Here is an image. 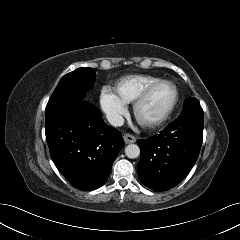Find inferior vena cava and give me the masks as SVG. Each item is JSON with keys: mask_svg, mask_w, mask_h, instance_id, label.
Returning a JSON list of instances; mask_svg holds the SVG:
<instances>
[{"mask_svg": "<svg viewBox=\"0 0 240 240\" xmlns=\"http://www.w3.org/2000/svg\"><path fill=\"white\" fill-rule=\"evenodd\" d=\"M106 118L112 126L118 127L124 124V119L119 113L116 112L109 113L106 115Z\"/></svg>", "mask_w": 240, "mask_h": 240, "instance_id": "inferior-vena-cava-1", "label": "inferior vena cava"}]
</instances>
